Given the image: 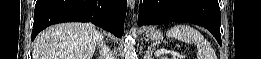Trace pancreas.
Masks as SVG:
<instances>
[{"label":"pancreas","mask_w":261,"mask_h":59,"mask_svg":"<svg viewBox=\"0 0 261 59\" xmlns=\"http://www.w3.org/2000/svg\"><path fill=\"white\" fill-rule=\"evenodd\" d=\"M162 59H168V57H162ZM172 59H177V57H172Z\"/></svg>","instance_id":"cf45deb5"}]
</instances>
